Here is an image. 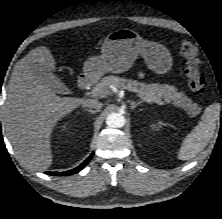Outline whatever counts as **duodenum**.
Wrapping results in <instances>:
<instances>
[{"label": "duodenum", "mask_w": 222, "mask_h": 219, "mask_svg": "<svg viewBox=\"0 0 222 219\" xmlns=\"http://www.w3.org/2000/svg\"><path fill=\"white\" fill-rule=\"evenodd\" d=\"M91 83V79H90V76L88 75H83L79 78V81H78V86L81 88V89H86Z\"/></svg>", "instance_id": "duodenum-1"}]
</instances>
